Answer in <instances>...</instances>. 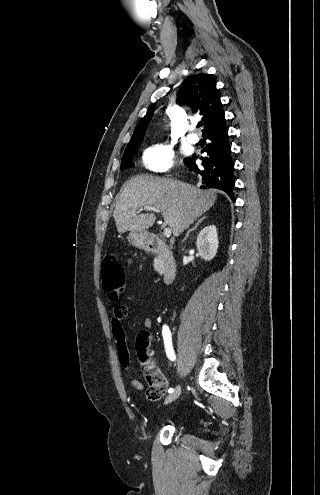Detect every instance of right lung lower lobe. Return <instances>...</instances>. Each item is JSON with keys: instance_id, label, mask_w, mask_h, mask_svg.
<instances>
[{"instance_id": "98d812e1", "label": "right lung lower lobe", "mask_w": 320, "mask_h": 495, "mask_svg": "<svg viewBox=\"0 0 320 495\" xmlns=\"http://www.w3.org/2000/svg\"><path fill=\"white\" fill-rule=\"evenodd\" d=\"M203 137L208 139V144L202 150V153L207 152V156L200 157L202 166L198 167L193 158H186L184 164L190 171L201 176L202 188L223 190L234 201V163L231 158L226 120L205 130Z\"/></svg>"}]
</instances>
